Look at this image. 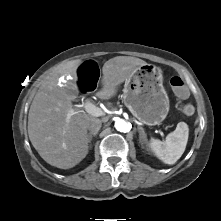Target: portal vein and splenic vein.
<instances>
[{
	"label": "portal vein and splenic vein",
	"mask_w": 221,
	"mask_h": 221,
	"mask_svg": "<svg viewBox=\"0 0 221 221\" xmlns=\"http://www.w3.org/2000/svg\"><path fill=\"white\" fill-rule=\"evenodd\" d=\"M83 107H84L85 111H86L88 114H90V115H92V116H94V117H100V116H103V115H104L103 110H102L101 108L95 106V105H94L93 103H91V102H86V103H84ZM78 112H80V111H75L74 109H72V110L69 112L68 117H70V116H72L73 114H76V113H78Z\"/></svg>",
	"instance_id": "obj_1"
}]
</instances>
